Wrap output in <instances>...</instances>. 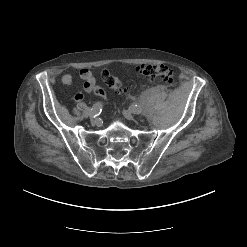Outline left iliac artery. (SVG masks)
<instances>
[{
  "instance_id": "1",
  "label": "left iliac artery",
  "mask_w": 247,
  "mask_h": 247,
  "mask_svg": "<svg viewBox=\"0 0 247 247\" xmlns=\"http://www.w3.org/2000/svg\"><path fill=\"white\" fill-rule=\"evenodd\" d=\"M141 111H142V108L138 104H134L130 107V112L132 114H139L141 113Z\"/></svg>"
}]
</instances>
